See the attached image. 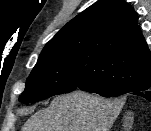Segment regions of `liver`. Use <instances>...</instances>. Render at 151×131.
<instances>
[{
    "label": "liver",
    "instance_id": "liver-1",
    "mask_svg": "<svg viewBox=\"0 0 151 131\" xmlns=\"http://www.w3.org/2000/svg\"><path fill=\"white\" fill-rule=\"evenodd\" d=\"M121 108L119 100L76 91L54 98L27 120L22 131H110Z\"/></svg>",
    "mask_w": 151,
    "mask_h": 131
}]
</instances>
